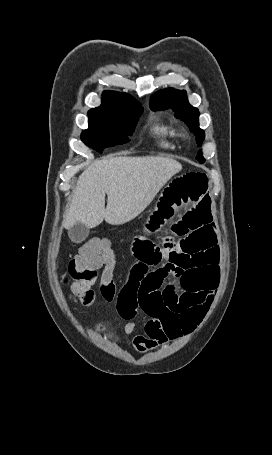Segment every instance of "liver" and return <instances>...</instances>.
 Here are the masks:
<instances>
[{"label":"liver","instance_id":"6515ba94","mask_svg":"<svg viewBox=\"0 0 272 455\" xmlns=\"http://www.w3.org/2000/svg\"><path fill=\"white\" fill-rule=\"evenodd\" d=\"M181 169L178 161L160 156L95 160L79 176L63 225L80 222L94 228L104 219L111 225L125 224L143 212Z\"/></svg>","mask_w":272,"mask_h":455}]
</instances>
